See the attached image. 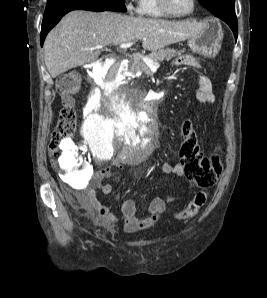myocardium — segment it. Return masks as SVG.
Masks as SVG:
<instances>
[{
    "instance_id": "f54148a6",
    "label": "myocardium",
    "mask_w": 267,
    "mask_h": 298,
    "mask_svg": "<svg viewBox=\"0 0 267 298\" xmlns=\"http://www.w3.org/2000/svg\"><path fill=\"white\" fill-rule=\"evenodd\" d=\"M156 1H157V5H158L159 9L164 14H166L167 16H170V17H175V18H184V17L190 16L195 11V7H196V0H192L191 9L187 13L177 14L170 9V7L168 6L167 0H156Z\"/></svg>"
}]
</instances>
